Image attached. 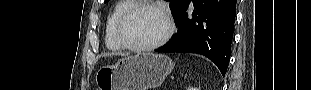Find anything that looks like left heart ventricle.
<instances>
[{
  "mask_svg": "<svg viewBox=\"0 0 311 90\" xmlns=\"http://www.w3.org/2000/svg\"><path fill=\"white\" fill-rule=\"evenodd\" d=\"M166 31L163 16L151 8L136 11L123 28L125 39L135 46L149 45L159 40Z\"/></svg>",
  "mask_w": 311,
  "mask_h": 90,
  "instance_id": "1",
  "label": "left heart ventricle"
}]
</instances>
